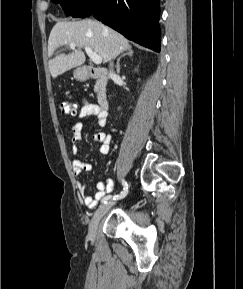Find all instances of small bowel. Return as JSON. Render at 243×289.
Returning <instances> with one entry per match:
<instances>
[{"label":"small bowel","mask_w":243,"mask_h":289,"mask_svg":"<svg viewBox=\"0 0 243 289\" xmlns=\"http://www.w3.org/2000/svg\"><path fill=\"white\" fill-rule=\"evenodd\" d=\"M94 115L97 118V123L100 127H104L107 124V111L103 110L96 104L89 103L84 101L81 109L76 114V120L69 125V130L72 133V153L76 156L79 153V148L77 143L81 140L82 137V124L79 120ZM94 141L100 144L99 151L102 155H107L111 149L112 136L109 133L97 132L93 135ZM71 168L73 174L78 177L82 172H91L92 165L90 163L84 162L77 157H74L71 161ZM96 193L94 196L87 194V185L78 181L77 190L81 198L83 199L84 204L89 208H94L100 200H103L106 197L108 192L113 190L112 183L99 181L96 184Z\"/></svg>","instance_id":"obj_1"}]
</instances>
